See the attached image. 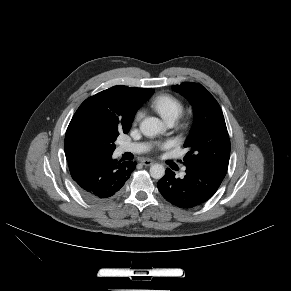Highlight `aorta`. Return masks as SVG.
<instances>
[{
    "label": "aorta",
    "instance_id": "762f6f07",
    "mask_svg": "<svg viewBox=\"0 0 291 291\" xmlns=\"http://www.w3.org/2000/svg\"><path fill=\"white\" fill-rule=\"evenodd\" d=\"M140 130L143 135L152 137L164 131L163 123L156 117L145 118L140 123ZM150 175L154 179H161L165 175V168L161 164H154L150 167Z\"/></svg>",
    "mask_w": 291,
    "mask_h": 291
}]
</instances>
